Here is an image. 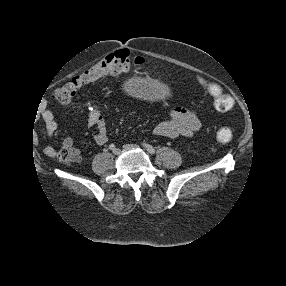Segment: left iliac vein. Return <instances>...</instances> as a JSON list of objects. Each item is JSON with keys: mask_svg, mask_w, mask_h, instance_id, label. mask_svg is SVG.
Masks as SVG:
<instances>
[{"mask_svg": "<svg viewBox=\"0 0 286 286\" xmlns=\"http://www.w3.org/2000/svg\"><path fill=\"white\" fill-rule=\"evenodd\" d=\"M130 147H139L138 145H136V144H126V145H124V148H130Z\"/></svg>", "mask_w": 286, "mask_h": 286, "instance_id": "4c4485c4", "label": "left iliac vein"}]
</instances>
